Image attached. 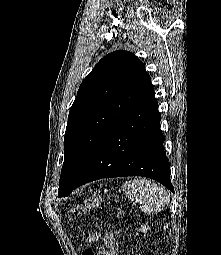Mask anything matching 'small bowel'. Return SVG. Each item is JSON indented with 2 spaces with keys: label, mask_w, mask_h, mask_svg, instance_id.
Returning <instances> with one entry per match:
<instances>
[{
  "label": "small bowel",
  "mask_w": 221,
  "mask_h": 255,
  "mask_svg": "<svg viewBox=\"0 0 221 255\" xmlns=\"http://www.w3.org/2000/svg\"><path fill=\"white\" fill-rule=\"evenodd\" d=\"M98 239L97 235H93L89 238V241H95ZM104 247H100L98 250L99 255H118V244L112 234L108 233L103 238Z\"/></svg>",
  "instance_id": "c3829d8e"
}]
</instances>
